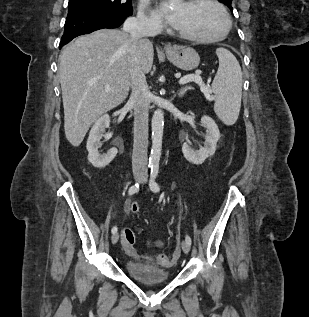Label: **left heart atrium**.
Here are the masks:
<instances>
[{"label": "left heart atrium", "instance_id": "left-heart-atrium-1", "mask_svg": "<svg viewBox=\"0 0 309 317\" xmlns=\"http://www.w3.org/2000/svg\"><path fill=\"white\" fill-rule=\"evenodd\" d=\"M166 19L172 26H175L177 23V15L175 13L166 15Z\"/></svg>", "mask_w": 309, "mask_h": 317}]
</instances>
